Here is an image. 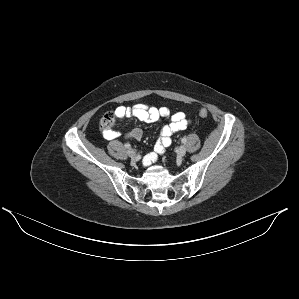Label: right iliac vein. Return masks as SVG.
<instances>
[{"instance_id": "63e3f726", "label": "right iliac vein", "mask_w": 299, "mask_h": 299, "mask_svg": "<svg viewBox=\"0 0 299 299\" xmlns=\"http://www.w3.org/2000/svg\"><path fill=\"white\" fill-rule=\"evenodd\" d=\"M127 154L130 158H134L136 156V152L133 149H128Z\"/></svg>"}]
</instances>
